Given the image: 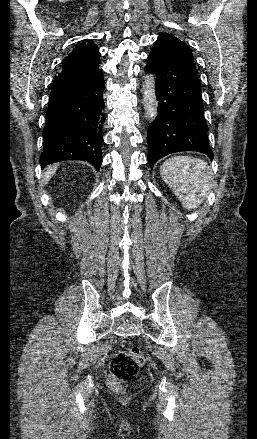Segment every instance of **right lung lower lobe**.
Masks as SVG:
<instances>
[{
  "instance_id": "1",
  "label": "right lung lower lobe",
  "mask_w": 257,
  "mask_h": 439,
  "mask_svg": "<svg viewBox=\"0 0 257 439\" xmlns=\"http://www.w3.org/2000/svg\"><path fill=\"white\" fill-rule=\"evenodd\" d=\"M104 89L101 69L53 88L43 131L42 169L59 161L81 160L99 170L105 121Z\"/></svg>"
}]
</instances>
